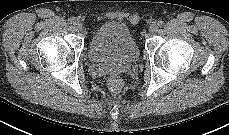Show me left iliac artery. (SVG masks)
<instances>
[{
  "instance_id": "44dca946",
  "label": "left iliac artery",
  "mask_w": 229,
  "mask_h": 135,
  "mask_svg": "<svg viewBox=\"0 0 229 135\" xmlns=\"http://www.w3.org/2000/svg\"><path fill=\"white\" fill-rule=\"evenodd\" d=\"M157 24H158V26H160V27H161V26H163L164 22L160 20V21H158V23H157Z\"/></svg>"
}]
</instances>
